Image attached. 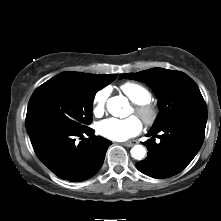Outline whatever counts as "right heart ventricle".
Segmentation results:
<instances>
[{
  "mask_svg": "<svg viewBox=\"0 0 221 221\" xmlns=\"http://www.w3.org/2000/svg\"><path fill=\"white\" fill-rule=\"evenodd\" d=\"M120 90L133 103H145L151 99L150 91L144 85L136 82H125L120 86Z\"/></svg>",
  "mask_w": 221,
  "mask_h": 221,
  "instance_id": "obj_1",
  "label": "right heart ventricle"
}]
</instances>
